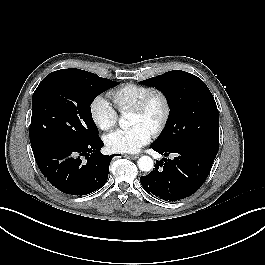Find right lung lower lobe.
Masks as SVG:
<instances>
[{
  "label": "right lung lower lobe",
  "mask_w": 265,
  "mask_h": 265,
  "mask_svg": "<svg viewBox=\"0 0 265 265\" xmlns=\"http://www.w3.org/2000/svg\"><path fill=\"white\" fill-rule=\"evenodd\" d=\"M98 137L85 143H56L32 148L47 180L63 193L86 195L104 186L114 155L100 153Z\"/></svg>",
  "instance_id": "right-lung-lower-lobe-1"
}]
</instances>
